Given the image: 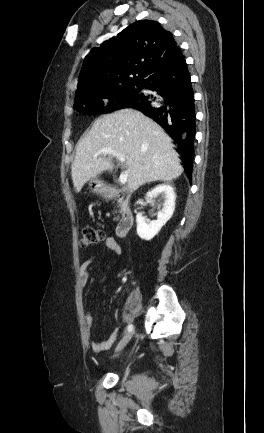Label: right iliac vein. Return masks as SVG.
I'll use <instances>...</instances> for the list:
<instances>
[{
	"mask_svg": "<svg viewBox=\"0 0 264 433\" xmlns=\"http://www.w3.org/2000/svg\"><path fill=\"white\" fill-rule=\"evenodd\" d=\"M132 334L133 333H131V334H129V335H127V336H125L120 342H119V344L117 345V347H116V349H115V352L117 353V352H119V351H121L126 345H127V343L130 341V339H131V337H132Z\"/></svg>",
	"mask_w": 264,
	"mask_h": 433,
	"instance_id": "63e3f726",
	"label": "right iliac vein"
}]
</instances>
